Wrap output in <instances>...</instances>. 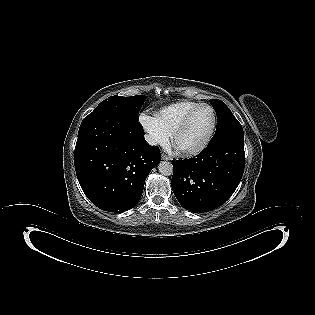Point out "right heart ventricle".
Listing matches in <instances>:
<instances>
[{
  "mask_svg": "<svg viewBox=\"0 0 315 315\" xmlns=\"http://www.w3.org/2000/svg\"><path fill=\"white\" fill-rule=\"evenodd\" d=\"M197 104L199 103L190 100H182L172 103L157 111L155 113V118L164 130L171 135L185 115Z\"/></svg>",
  "mask_w": 315,
  "mask_h": 315,
  "instance_id": "1",
  "label": "right heart ventricle"
}]
</instances>
